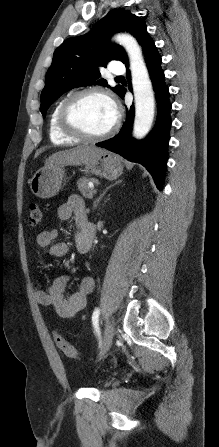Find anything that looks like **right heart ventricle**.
Returning <instances> with one entry per match:
<instances>
[{
	"label": "right heart ventricle",
	"mask_w": 219,
	"mask_h": 447,
	"mask_svg": "<svg viewBox=\"0 0 219 447\" xmlns=\"http://www.w3.org/2000/svg\"><path fill=\"white\" fill-rule=\"evenodd\" d=\"M65 99L58 101L53 107L48 119V135L51 142L55 144H72L80 141L64 133L58 124V114Z\"/></svg>",
	"instance_id": "obj_1"
}]
</instances>
